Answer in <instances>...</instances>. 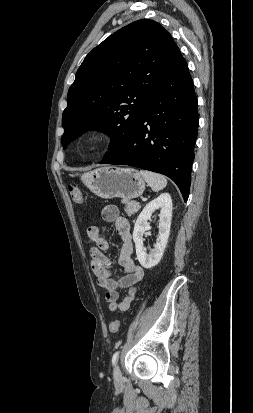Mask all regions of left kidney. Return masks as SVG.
<instances>
[{"label":"left kidney","mask_w":253,"mask_h":413,"mask_svg":"<svg viewBox=\"0 0 253 413\" xmlns=\"http://www.w3.org/2000/svg\"><path fill=\"white\" fill-rule=\"evenodd\" d=\"M157 209H161L158 226L159 235L156 244L154 245V249L148 254L143 244V235L146 231L151 229L148 220ZM171 219L172 199L168 193H163L149 202L138 216L134 226L133 240L135 243L137 259L144 268L150 269L160 262L168 242Z\"/></svg>","instance_id":"obj_1"}]
</instances>
